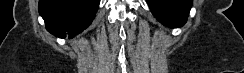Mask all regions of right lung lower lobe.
<instances>
[{"label": "right lung lower lobe", "instance_id": "right-lung-lower-lobe-1", "mask_svg": "<svg viewBox=\"0 0 244 73\" xmlns=\"http://www.w3.org/2000/svg\"><path fill=\"white\" fill-rule=\"evenodd\" d=\"M99 0H39V13L46 29L69 38L86 29L95 17Z\"/></svg>", "mask_w": 244, "mask_h": 73}]
</instances>
